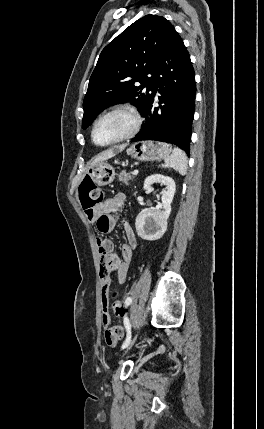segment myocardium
<instances>
[{"label": "myocardium", "mask_w": 264, "mask_h": 429, "mask_svg": "<svg viewBox=\"0 0 264 429\" xmlns=\"http://www.w3.org/2000/svg\"><path fill=\"white\" fill-rule=\"evenodd\" d=\"M114 114H123V115L130 117V119L132 120V125H131L130 130L126 134H124L123 136H121V137H119V138H117L111 142H108L105 144L98 143L95 139V131H96L98 124L103 119H105L111 115H114ZM141 125H142V117L140 116V114L138 113V111L134 107H131L128 105L117 106V107H114V108L104 112L102 115H100L96 119V121L94 122L93 127H92L91 138H92L93 143L97 146H101V147L111 146V145L118 144L120 142L126 141V140L134 137L138 133V131L140 130Z\"/></svg>", "instance_id": "1"}]
</instances>
